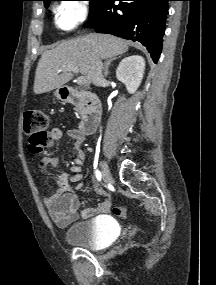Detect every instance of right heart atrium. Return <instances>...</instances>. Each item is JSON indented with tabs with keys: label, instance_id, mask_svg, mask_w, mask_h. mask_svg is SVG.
<instances>
[{
	"label": "right heart atrium",
	"instance_id": "right-heart-atrium-1",
	"mask_svg": "<svg viewBox=\"0 0 216 285\" xmlns=\"http://www.w3.org/2000/svg\"><path fill=\"white\" fill-rule=\"evenodd\" d=\"M88 15L86 2L70 0L61 2L55 11V21L59 28L71 30L82 23Z\"/></svg>",
	"mask_w": 216,
	"mask_h": 285
}]
</instances>
